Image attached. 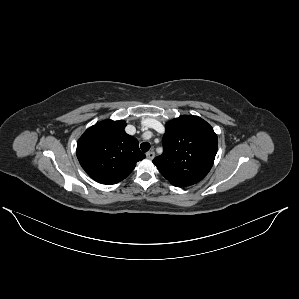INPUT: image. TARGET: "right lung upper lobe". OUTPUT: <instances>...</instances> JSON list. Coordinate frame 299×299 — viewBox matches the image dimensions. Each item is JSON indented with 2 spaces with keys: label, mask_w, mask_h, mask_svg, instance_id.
Masks as SVG:
<instances>
[{
  "label": "right lung upper lobe",
  "mask_w": 299,
  "mask_h": 299,
  "mask_svg": "<svg viewBox=\"0 0 299 299\" xmlns=\"http://www.w3.org/2000/svg\"><path fill=\"white\" fill-rule=\"evenodd\" d=\"M122 120H105L88 128L77 143V158L85 172L102 184L125 179L146 156Z\"/></svg>",
  "instance_id": "obj_1"
}]
</instances>
